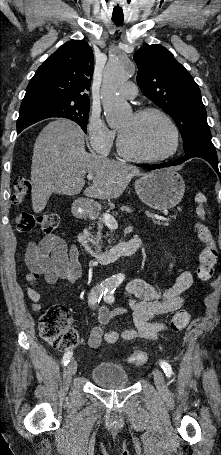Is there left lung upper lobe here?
<instances>
[{"mask_svg": "<svg viewBox=\"0 0 221 455\" xmlns=\"http://www.w3.org/2000/svg\"><path fill=\"white\" fill-rule=\"evenodd\" d=\"M134 60L140 89L174 119L182 135L184 151L195 146L214 147L201 92L185 67L157 44L141 47L134 54Z\"/></svg>", "mask_w": 221, "mask_h": 455, "instance_id": "left-lung-upper-lobe-1", "label": "left lung upper lobe"}]
</instances>
